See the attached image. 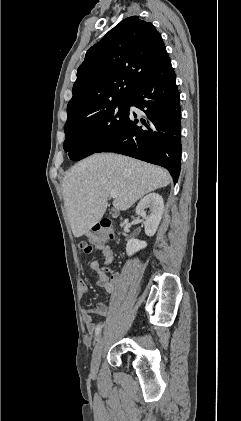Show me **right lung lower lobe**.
<instances>
[{
    "label": "right lung lower lobe",
    "instance_id": "obj_1",
    "mask_svg": "<svg viewBox=\"0 0 241 421\" xmlns=\"http://www.w3.org/2000/svg\"><path fill=\"white\" fill-rule=\"evenodd\" d=\"M180 94L169 57L129 98V106L145 113L140 119L129 113L125 126L99 152H116L152 164L170 172L176 183L181 164ZM141 121L144 126H138Z\"/></svg>",
    "mask_w": 241,
    "mask_h": 421
}]
</instances>
